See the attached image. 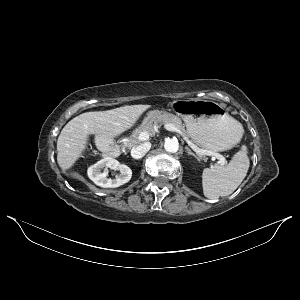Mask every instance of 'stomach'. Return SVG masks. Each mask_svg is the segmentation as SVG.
I'll return each mask as SVG.
<instances>
[{
    "instance_id": "stomach-1",
    "label": "stomach",
    "mask_w": 300,
    "mask_h": 300,
    "mask_svg": "<svg viewBox=\"0 0 300 300\" xmlns=\"http://www.w3.org/2000/svg\"><path fill=\"white\" fill-rule=\"evenodd\" d=\"M172 107L184 120L193 141L203 148L226 151L241 139L239 125L221 104L210 100H184L175 102ZM161 112L151 111L148 118H156Z\"/></svg>"
}]
</instances>
